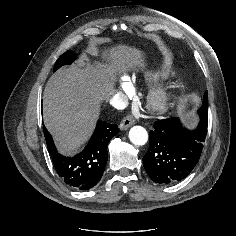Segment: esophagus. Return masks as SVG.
I'll use <instances>...</instances> for the list:
<instances>
[{
    "instance_id": "esophagus-1",
    "label": "esophagus",
    "mask_w": 236,
    "mask_h": 236,
    "mask_svg": "<svg viewBox=\"0 0 236 236\" xmlns=\"http://www.w3.org/2000/svg\"><path fill=\"white\" fill-rule=\"evenodd\" d=\"M135 123V120L132 116L128 115L125 118H123V120L120 123V129L121 130H126L128 129L130 126H132Z\"/></svg>"
}]
</instances>
